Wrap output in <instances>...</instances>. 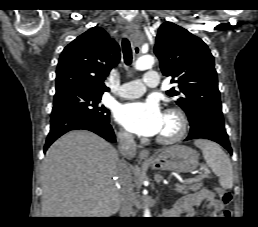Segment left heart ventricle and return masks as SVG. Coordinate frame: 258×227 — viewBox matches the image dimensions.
<instances>
[{"mask_svg": "<svg viewBox=\"0 0 258 227\" xmlns=\"http://www.w3.org/2000/svg\"><path fill=\"white\" fill-rule=\"evenodd\" d=\"M176 130H177L176 120L170 116L164 115L163 124L158 134L163 136H169L175 133Z\"/></svg>", "mask_w": 258, "mask_h": 227, "instance_id": "left-heart-ventricle-1", "label": "left heart ventricle"}]
</instances>
